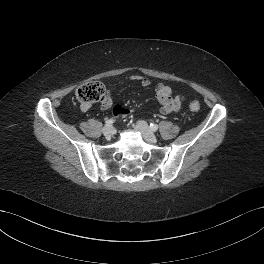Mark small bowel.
Returning a JSON list of instances; mask_svg holds the SVG:
<instances>
[{
    "mask_svg": "<svg viewBox=\"0 0 264 264\" xmlns=\"http://www.w3.org/2000/svg\"><path fill=\"white\" fill-rule=\"evenodd\" d=\"M126 81L139 82L140 85L144 88L150 85V81L147 78L138 76V75H132L124 81H120L118 83L111 85L110 88H114ZM155 95H156L158 102L161 105L160 113L164 115L178 112L181 109L183 101H184L183 96L181 95L174 96L171 88L163 83H159L156 85ZM111 106H112V101H111L110 95L107 93L105 98L101 101V107L103 109H109L111 108ZM81 108L82 110L86 111L90 108V106L82 105ZM112 113L115 116H125L129 113V111L120 105H115L112 108Z\"/></svg>",
    "mask_w": 264,
    "mask_h": 264,
    "instance_id": "small-bowel-1",
    "label": "small bowel"
}]
</instances>
